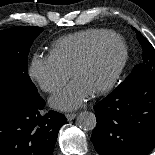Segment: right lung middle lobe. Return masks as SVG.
I'll return each mask as SVG.
<instances>
[{
  "label": "right lung middle lobe",
  "mask_w": 155,
  "mask_h": 155,
  "mask_svg": "<svg viewBox=\"0 0 155 155\" xmlns=\"http://www.w3.org/2000/svg\"><path fill=\"white\" fill-rule=\"evenodd\" d=\"M43 28L20 26L0 31V102L27 105L38 93L28 76L29 48Z\"/></svg>",
  "instance_id": "1"
}]
</instances>
